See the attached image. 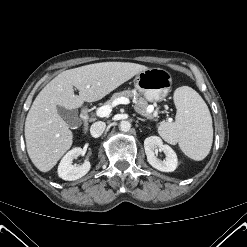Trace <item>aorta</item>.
Listing matches in <instances>:
<instances>
[{
	"label": "aorta",
	"instance_id": "762f6f07",
	"mask_svg": "<svg viewBox=\"0 0 247 247\" xmlns=\"http://www.w3.org/2000/svg\"><path fill=\"white\" fill-rule=\"evenodd\" d=\"M119 128H120L121 131L127 132L131 128V123L129 121H125V120L121 121L120 125H119Z\"/></svg>",
	"mask_w": 247,
	"mask_h": 247
}]
</instances>
